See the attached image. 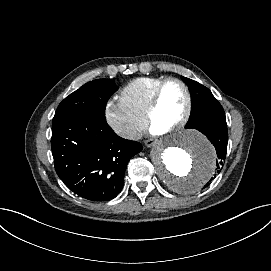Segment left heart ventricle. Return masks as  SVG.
<instances>
[{
    "mask_svg": "<svg viewBox=\"0 0 271 271\" xmlns=\"http://www.w3.org/2000/svg\"><path fill=\"white\" fill-rule=\"evenodd\" d=\"M187 110V95L184 88L176 83H168L161 93L160 105L152 118V125L167 131Z\"/></svg>",
    "mask_w": 271,
    "mask_h": 271,
    "instance_id": "1",
    "label": "left heart ventricle"
}]
</instances>
